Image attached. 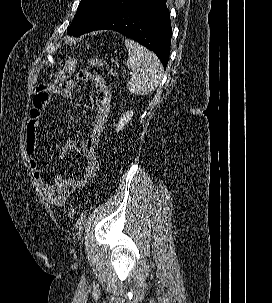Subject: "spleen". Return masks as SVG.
<instances>
[{
    "instance_id": "spleen-1",
    "label": "spleen",
    "mask_w": 272,
    "mask_h": 303,
    "mask_svg": "<svg viewBox=\"0 0 272 303\" xmlns=\"http://www.w3.org/2000/svg\"><path fill=\"white\" fill-rule=\"evenodd\" d=\"M128 50L126 65L132 71L127 83L128 90L135 95H147L160 84L164 69L158 57L135 41L125 39Z\"/></svg>"
}]
</instances>
